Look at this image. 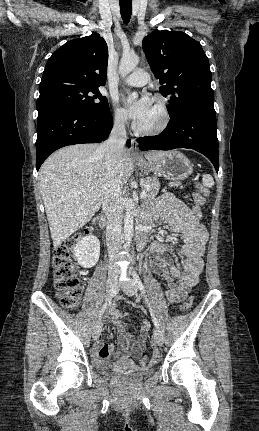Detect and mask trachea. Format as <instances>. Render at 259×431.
<instances>
[{"label":"trachea","mask_w":259,"mask_h":431,"mask_svg":"<svg viewBox=\"0 0 259 431\" xmlns=\"http://www.w3.org/2000/svg\"><path fill=\"white\" fill-rule=\"evenodd\" d=\"M119 4L123 22L128 24L132 14V0H120Z\"/></svg>","instance_id":"1"}]
</instances>
